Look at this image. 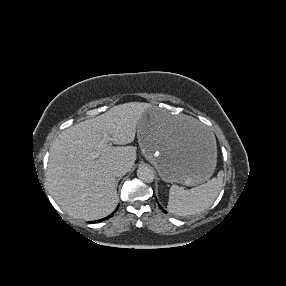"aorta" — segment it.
I'll return each instance as SVG.
<instances>
[{
    "mask_svg": "<svg viewBox=\"0 0 286 286\" xmlns=\"http://www.w3.org/2000/svg\"><path fill=\"white\" fill-rule=\"evenodd\" d=\"M137 176L141 181L146 182V183L153 182L155 178L154 171L152 170V168H150L147 165H141L137 169Z\"/></svg>",
    "mask_w": 286,
    "mask_h": 286,
    "instance_id": "1",
    "label": "aorta"
}]
</instances>
